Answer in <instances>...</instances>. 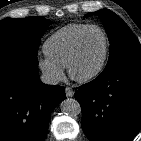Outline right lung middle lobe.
<instances>
[{
  "mask_svg": "<svg viewBox=\"0 0 141 141\" xmlns=\"http://www.w3.org/2000/svg\"><path fill=\"white\" fill-rule=\"evenodd\" d=\"M52 22L33 16L0 21V58L26 54L37 57L40 39Z\"/></svg>",
  "mask_w": 141,
  "mask_h": 141,
  "instance_id": "1",
  "label": "right lung middle lobe"
}]
</instances>
